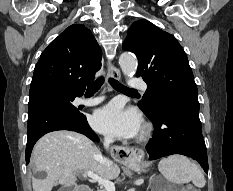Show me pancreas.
Masks as SVG:
<instances>
[{
    "mask_svg": "<svg viewBox=\"0 0 233 191\" xmlns=\"http://www.w3.org/2000/svg\"><path fill=\"white\" fill-rule=\"evenodd\" d=\"M152 179V177L150 178V180ZM98 191H106L105 189H101V190H98Z\"/></svg>",
    "mask_w": 233,
    "mask_h": 191,
    "instance_id": "1",
    "label": "pancreas"
}]
</instances>
